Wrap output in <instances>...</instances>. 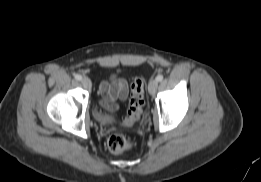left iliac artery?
<instances>
[{
	"instance_id": "obj_1",
	"label": "left iliac artery",
	"mask_w": 261,
	"mask_h": 182,
	"mask_svg": "<svg viewBox=\"0 0 261 182\" xmlns=\"http://www.w3.org/2000/svg\"><path fill=\"white\" fill-rule=\"evenodd\" d=\"M157 81H162L163 80V75L162 74H159L157 77H156Z\"/></svg>"
}]
</instances>
